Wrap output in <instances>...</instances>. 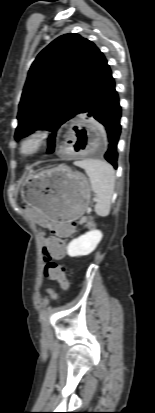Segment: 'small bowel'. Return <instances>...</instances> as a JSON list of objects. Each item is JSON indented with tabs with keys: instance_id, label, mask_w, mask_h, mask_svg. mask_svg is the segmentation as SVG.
Segmentation results:
<instances>
[{
	"instance_id": "c3829d8e",
	"label": "small bowel",
	"mask_w": 155,
	"mask_h": 413,
	"mask_svg": "<svg viewBox=\"0 0 155 413\" xmlns=\"http://www.w3.org/2000/svg\"><path fill=\"white\" fill-rule=\"evenodd\" d=\"M24 212L28 214L30 218H34L37 226L42 227L45 224L46 216L44 214H37L36 207L34 205H26L24 207ZM46 231H55L59 236H69L73 233V229L67 225H60L58 222H46Z\"/></svg>"
}]
</instances>
